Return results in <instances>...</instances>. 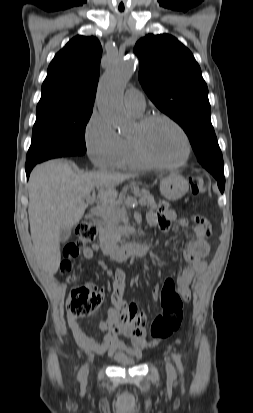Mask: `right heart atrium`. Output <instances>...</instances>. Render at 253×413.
<instances>
[{
    "instance_id": "obj_1",
    "label": "right heart atrium",
    "mask_w": 253,
    "mask_h": 413,
    "mask_svg": "<svg viewBox=\"0 0 253 413\" xmlns=\"http://www.w3.org/2000/svg\"><path fill=\"white\" fill-rule=\"evenodd\" d=\"M85 143L91 162L98 168L114 166L121 148V136L99 112H93L86 128Z\"/></svg>"
}]
</instances>
